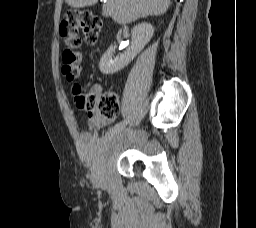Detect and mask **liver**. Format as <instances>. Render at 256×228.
<instances>
[{"instance_id":"liver-1","label":"liver","mask_w":256,"mask_h":228,"mask_svg":"<svg viewBox=\"0 0 256 228\" xmlns=\"http://www.w3.org/2000/svg\"><path fill=\"white\" fill-rule=\"evenodd\" d=\"M98 0H65L70 7L94 5ZM170 0H108L102 5V15L111 17L118 24H126L147 16L164 14Z\"/></svg>"}]
</instances>
